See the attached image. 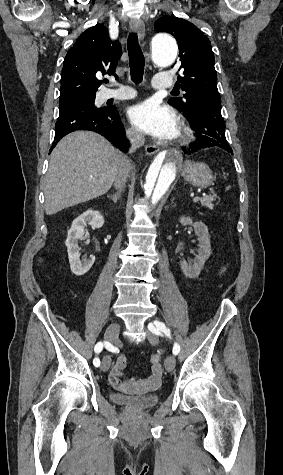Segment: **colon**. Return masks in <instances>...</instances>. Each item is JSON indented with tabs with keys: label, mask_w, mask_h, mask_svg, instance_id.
Segmentation results:
<instances>
[{
	"label": "colon",
	"mask_w": 283,
	"mask_h": 475,
	"mask_svg": "<svg viewBox=\"0 0 283 475\" xmlns=\"http://www.w3.org/2000/svg\"><path fill=\"white\" fill-rule=\"evenodd\" d=\"M161 357L158 353H154L150 358V364L152 366L153 372L160 365Z\"/></svg>",
	"instance_id": "5ec220e1"
}]
</instances>
